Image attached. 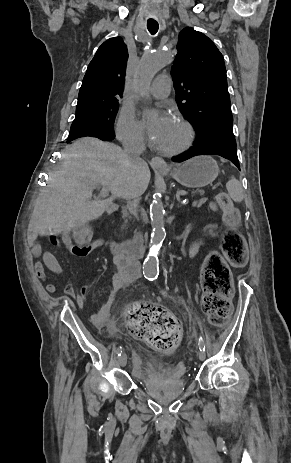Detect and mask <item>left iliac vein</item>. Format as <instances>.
<instances>
[{"label": "left iliac vein", "mask_w": 291, "mask_h": 463, "mask_svg": "<svg viewBox=\"0 0 291 463\" xmlns=\"http://www.w3.org/2000/svg\"><path fill=\"white\" fill-rule=\"evenodd\" d=\"M206 357L205 351L201 350L198 352V358L199 360L203 361Z\"/></svg>", "instance_id": "4c4485c4"}]
</instances>
